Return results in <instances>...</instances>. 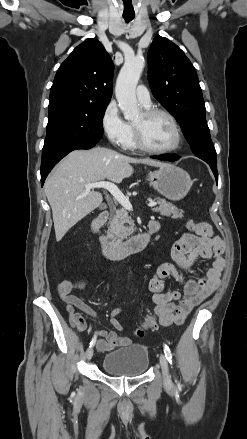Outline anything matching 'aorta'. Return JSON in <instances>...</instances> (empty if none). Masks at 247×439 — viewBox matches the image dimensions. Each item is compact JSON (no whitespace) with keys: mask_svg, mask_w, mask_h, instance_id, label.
<instances>
[{"mask_svg":"<svg viewBox=\"0 0 247 439\" xmlns=\"http://www.w3.org/2000/svg\"><path fill=\"white\" fill-rule=\"evenodd\" d=\"M145 61L141 57L127 58L116 81L115 94L126 120L139 117L136 86L142 74Z\"/></svg>","mask_w":247,"mask_h":439,"instance_id":"obj_1","label":"aorta"}]
</instances>
